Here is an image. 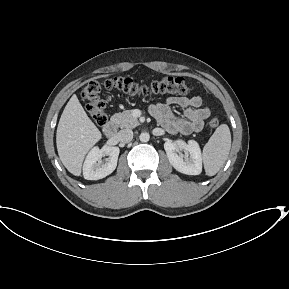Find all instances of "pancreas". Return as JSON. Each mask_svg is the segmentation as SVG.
<instances>
[{
	"instance_id": "cf45deb5",
	"label": "pancreas",
	"mask_w": 289,
	"mask_h": 289,
	"mask_svg": "<svg viewBox=\"0 0 289 289\" xmlns=\"http://www.w3.org/2000/svg\"><path fill=\"white\" fill-rule=\"evenodd\" d=\"M111 120L120 128H135L139 125L138 119L132 115V110L115 113Z\"/></svg>"
}]
</instances>
